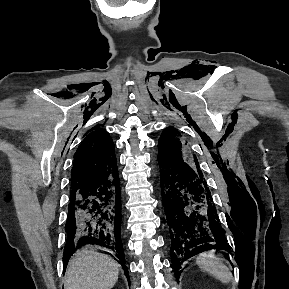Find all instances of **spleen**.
Wrapping results in <instances>:
<instances>
[{
  "label": "spleen",
  "mask_w": 289,
  "mask_h": 289,
  "mask_svg": "<svg viewBox=\"0 0 289 289\" xmlns=\"http://www.w3.org/2000/svg\"><path fill=\"white\" fill-rule=\"evenodd\" d=\"M196 263L202 271L208 272L222 283H229L233 278L223 259L215 256L214 251L200 254Z\"/></svg>",
  "instance_id": "1"
}]
</instances>
